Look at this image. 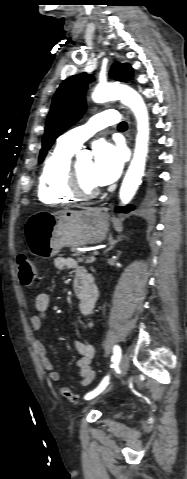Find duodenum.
I'll return each instance as SVG.
<instances>
[{"label": "duodenum", "mask_w": 187, "mask_h": 479, "mask_svg": "<svg viewBox=\"0 0 187 479\" xmlns=\"http://www.w3.org/2000/svg\"><path fill=\"white\" fill-rule=\"evenodd\" d=\"M87 286H88V287H93V286H94V281H93V279H91V280L87 283Z\"/></svg>", "instance_id": "1"}]
</instances>
